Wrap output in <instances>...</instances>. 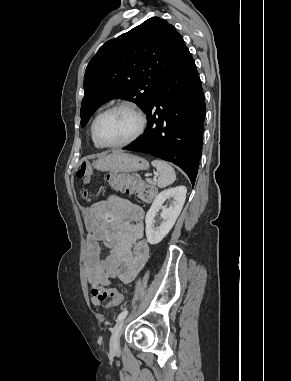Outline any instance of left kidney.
Listing matches in <instances>:
<instances>
[{
    "label": "left kidney",
    "instance_id": "1",
    "mask_svg": "<svg viewBox=\"0 0 291 381\" xmlns=\"http://www.w3.org/2000/svg\"><path fill=\"white\" fill-rule=\"evenodd\" d=\"M187 189L185 186H177L160 192L154 199L145 218L146 237L150 244L155 245L163 240L174 226L185 203ZM169 201V207L161 212L162 222L154 227L155 216L162 204Z\"/></svg>",
    "mask_w": 291,
    "mask_h": 381
}]
</instances>
